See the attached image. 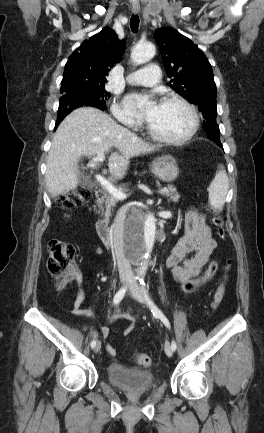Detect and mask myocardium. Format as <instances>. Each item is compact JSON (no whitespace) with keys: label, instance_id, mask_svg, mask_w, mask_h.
<instances>
[{"label":"myocardium","instance_id":"obj_1","mask_svg":"<svg viewBox=\"0 0 264 433\" xmlns=\"http://www.w3.org/2000/svg\"><path fill=\"white\" fill-rule=\"evenodd\" d=\"M161 103H177V104H180L183 107H185L189 111V113L191 114V118H192L190 129L188 130V132L186 134H184L181 137L171 138V137H166V136L160 135L154 129H152V127L149 125V123H147V126H146L147 133L153 139H155L159 142L165 143V144H169V145H183V144H185L196 134V132L199 128L200 118H199V114H198L196 108L190 102H188L186 99L179 97V96H173V95L164 97L162 99Z\"/></svg>","mask_w":264,"mask_h":433}]
</instances>
